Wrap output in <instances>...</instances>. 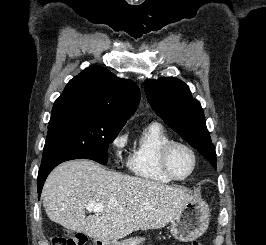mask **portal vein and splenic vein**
<instances>
[{"label": "portal vein and splenic vein", "mask_w": 266, "mask_h": 245, "mask_svg": "<svg viewBox=\"0 0 266 245\" xmlns=\"http://www.w3.org/2000/svg\"><path fill=\"white\" fill-rule=\"evenodd\" d=\"M86 211H93V213H103L104 207L100 203H88Z\"/></svg>", "instance_id": "18ae733b"}]
</instances>
